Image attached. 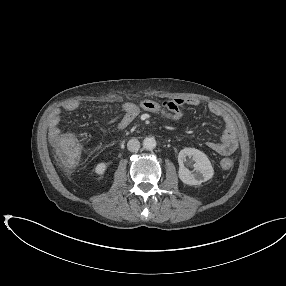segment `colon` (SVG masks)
<instances>
[{
  "mask_svg": "<svg viewBox=\"0 0 286 286\" xmlns=\"http://www.w3.org/2000/svg\"><path fill=\"white\" fill-rule=\"evenodd\" d=\"M52 143L57 157L61 164L71 168L77 164L81 154V146L78 139L72 134H58L52 137ZM221 166L224 169H230L233 166V160L223 159Z\"/></svg>",
  "mask_w": 286,
  "mask_h": 286,
  "instance_id": "colon-1",
  "label": "colon"
}]
</instances>
